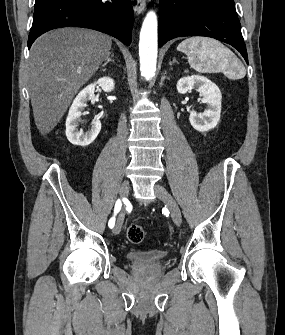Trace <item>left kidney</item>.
<instances>
[{
	"label": "left kidney",
	"mask_w": 285,
	"mask_h": 335,
	"mask_svg": "<svg viewBox=\"0 0 285 335\" xmlns=\"http://www.w3.org/2000/svg\"><path fill=\"white\" fill-rule=\"evenodd\" d=\"M177 90L179 94L197 90L200 96H203L202 104H207V110H204L202 114H197L194 110L190 112L189 120L194 130L208 132L217 126L221 114L222 94L216 84L204 76H187V78L178 80Z\"/></svg>",
	"instance_id": "1"
}]
</instances>
